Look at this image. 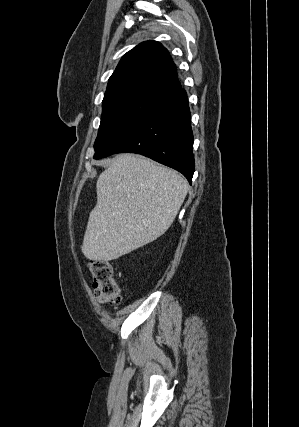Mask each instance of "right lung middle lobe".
<instances>
[{"label":"right lung middle lobe","mask_w":299,"mask_h":427,"mask_svg":"<svg viewBox=\"0 0 299 427\" xmlns=\"http://www.w3.org/2000/svg\"><path fill=\"white\" fill-rule=\"evenodd\" d=\"M154 103L139 97H117L103 100L101 123L94 148L102 152L129 129Z\"/></svg>","instance_id":"obj_1"}]
</instances>
